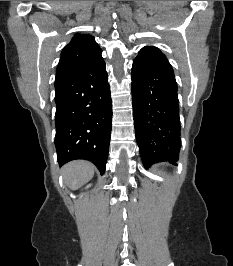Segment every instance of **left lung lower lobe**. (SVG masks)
<instances>
[{"mask_svg":"<svg viewBox=\"0 0 233 266\" xmlns=\"http://www.w3.org/2000/svg\"><path fill=\"white\" fill-rule=\"evenodd\" d=\"M131 76L136 139L145 168L178 161L181 126L172 66L157 47L146 46L134 59Z\"/></svg>","mask_w":233,"mask_h":266,"instance_id":"left-lung-lower-lobe-1","label":"left lung lower lobe"}]
</instances>
